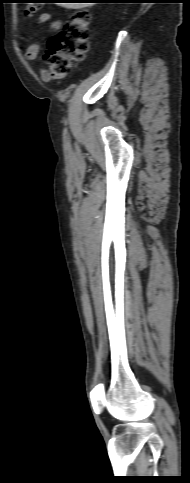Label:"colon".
I'll return each mask as SVG.
<instances>
[{
  "instance_id": "1",
  "label": "colon",
  "mask_w": 190,
  "mask_h": 483,
  "mask_svg": "<svg viewBox=\"0 0 190 483\" xmlns=\"http://www.w3.org/2000/svg\"><path fill=\"white\" fill-rule=\"evenodd\" d=\"M38 3V2H29ZM39 4H29L25 15L36 14ZM90 14L81 9L65 24L64 28L48 41L44 55L45 72L50 79L62 80L72 68L82 63L89 49Z\"/></svg>"
}]
</instances>
